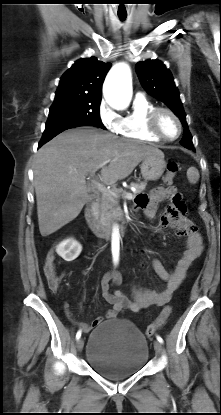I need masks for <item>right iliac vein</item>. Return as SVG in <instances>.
Segmentation results:
<instances>
[{
  "mask_svg": "<svg viewBox=\"0 0 221 415\" xmlns=\"http://www.w3.org/2000/svg\"><path fill=\"white\" fill-rule=\"evenodd\" d=\"M76 346H77V350L79 352H81L82 349H83V347H84V340H83V338H79L78 339Z\"/></svg>",
  "mask_w": 221,
  "mask_h": 415,
  "instance_id": "right-iliac-vein-1",
  "label": "right iliac vein"
}]
</instances>
